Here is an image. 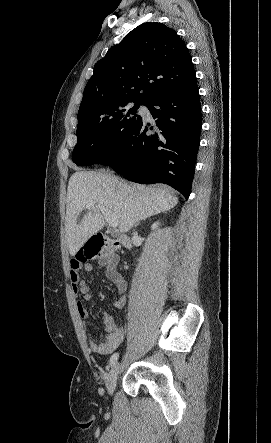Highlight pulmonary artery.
<instances>
[{"instance_id":"pulmonary-artery-1","label":"pulmonary artery","mask_w":271,"mask_h":443,"mask_svg":"<svg viewBox=\"0 0 271 443\" xmlns=\"http://www.w3.org/2000/svg\"><path fill=\"white\" fill-rule=\"evenodd\" d=\"M142 110H143L145 113H148V109H147L146 107H142Z\"/></svg>"}]
</instances>
